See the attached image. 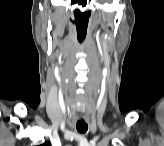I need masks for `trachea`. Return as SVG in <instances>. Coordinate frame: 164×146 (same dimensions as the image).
<instances>
[{
    "mask_svg": "<svg viewBox=\"0 0 164 146\" xmlns=\"http://www.w3.org/2000/svg\"><path fill=\"white\" fill-rule=\"evenodd\" d=\"M76 128L78 130V132L80 133H86L88 130V125L86 124L85 121H78L76 124Z\"/></svg>",
    "mask_w": 164,
    "mask_h": 146,
    "instance_id": "1",
    "label": "trachea"
}]
</instances>
